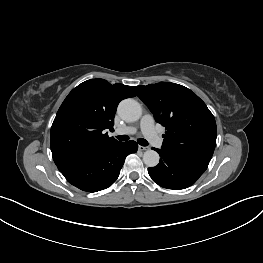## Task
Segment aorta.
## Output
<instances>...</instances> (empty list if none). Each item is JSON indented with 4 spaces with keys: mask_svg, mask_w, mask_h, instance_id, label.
I'll use <instances>...</instances> for the list:
<instances>
[{
    "mask_svg": "<svg viewBox=\"0 0 263 263\" xmlns=\"http://www.w3.org/2000/svg\"><path fill=\"white\" fill-rule=\"evenodd\" d=\"M117 112L122 119L128 122L137 121L142 115L140 104L131 98L121 101ZM143 162L148 167H155L159 163V154L154 150H147L143 155Z\"/></svg>",
    "mask_w": 263,
    "mask_h": 263,
    "instance_id": "1",
    "label": "aorta"
}]
</instances>
